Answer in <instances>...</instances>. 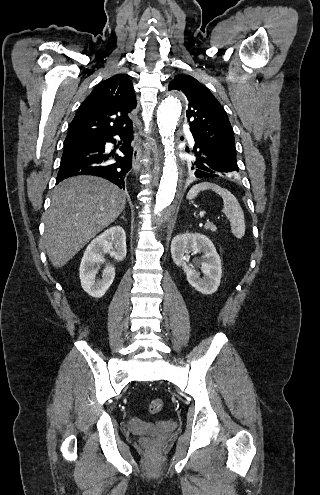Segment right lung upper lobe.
Returning <instances> with one entry per match:
<instances>
[{
	"label": "right lung upper lobe",
	"mask_w": 320,
	"mask_h": 495,
	"mask_svg": "<svg viewBox=\"0 0 320 495\" xmlns=\"http://www.w3.org/2000/svg\"><path fill=\"white\" fill-rule=\"evenodd\" d=\"M136 107L132 81L117 74L100 82L83 101L72 120L65 142L94 139L132 126L128 117Z\"/></svg>",
	"instance_id": "1"
}]
</instances>
